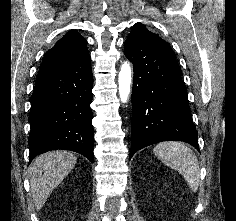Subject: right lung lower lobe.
Listing matches in <instances>:
<instances>
[{"instance_id": "right-lung-lower-lobe-1", "label": "right lung lower lobe", "mask_w": 236, "mask_h": 221, "mask_svg": "<svg viewBox=\"0 0 236 221\" xmlns=\"http://www.w3.org/2000/svg\"><path fill=\"white\" fill-rule=\"evenodd\" d=\"M92 87L90 60L38 75L29 114V162L56 149L78 152L93 162Z\"/></svg>"}]
</instances>
